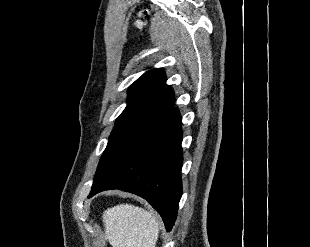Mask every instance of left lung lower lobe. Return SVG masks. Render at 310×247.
I'll list each match as a JSON object with an SVG mask.
<instances>
[{"label": "left lung lower lobe", "mask_w": 310, "mask_h": 247, "mask_svg": "<svg viewBox=\"0 0 310 247\" xmlns=\"http://www.w3.org/2000/svg\"><path fill=\"white\" fill-rule=\"evenodd\" d=\"M172 108L143 130L92 185L88 198L121 189L145 198L163 218L167 231L176 220L182 196V128Z\"/></svg>", "instance_id": "left-lung-lower-lobe-1"}]
</instances>
